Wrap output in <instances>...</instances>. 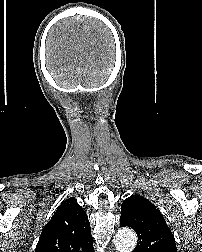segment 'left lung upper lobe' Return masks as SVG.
I'll return each instance as SVG.
<instances>
[{
  "label": "left lung upper lobe",
  "mask_w": 202,
  "mask_h": 252,
  "mask_svg": "<svg viewBox=\"0 0 202 252\" xmlns=\"http://www.w3.org/2000/svg\"><path fill=\"white\" fill-rule=\"evenodd\" d=\"M134 229L139 242L133 252H177L174 236L155 206L140 195L121 205L120 227Z\"/></svg>",
  "instance_id": "1"
}]
</instances>
